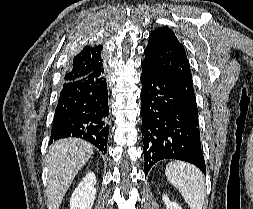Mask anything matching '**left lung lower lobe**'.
Wrapping results in <instances>:
<instances>
[{"label": "left lung lower lobe", "mask_w": 253, "mask_h": 209, "mask_svg": "<svg viewBox=\"0 0 253 209\" xmlns=\"http://www.w3.org/2000/svg\"><path fill=\"white\" fill-rule=\"evenodd\" d=\"M141 67L145 176L162 159L190 162L206 174L198 115L164 72L146 62Z\"/></svg>", "instance_id": "left-lung-lower-lobe-1"}]
</instances>
